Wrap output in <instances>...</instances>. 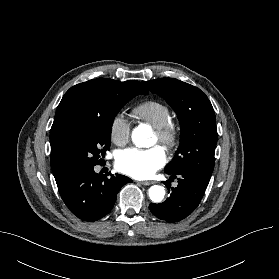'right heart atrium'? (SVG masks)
Here are the masks:
<instances>
[{
    "mask_svg": "<svg viewBox=\"0 0 279 279\" xmlns=\"http://www.w3.org/2000/svg\"><path fill=\"white\" fill-rule=\"evenodd\" d=\"M130 134V121L121 113L115 114L109 124L110 140L117 146H123L129 141Z\"/></svg>",
    "mask_w": 279,
    "mask_h": 279,
    "instance_id": "1",
    "label": "right heart atrium"
}]
</instances>
